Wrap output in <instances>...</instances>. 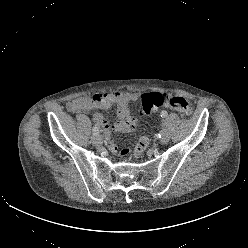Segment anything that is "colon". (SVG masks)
Here are the masks:
<instances>
[{
    "label": "colon",
    "mask_w": 248,
    "mask_h": 248,
    "mask_svg": "<svg viewBox=\"0 0 248 248\" xmlns=\"http://www.w3.org/2000/svg\"><path fill=\"white\" fill-rule=\"evenodd\" d=\"M142 112L144 115H150L152 111L160 106H167L174 109L186 117H190L193 113L192 104L183 97L170 96L164 94H144L141 98ZM149 145L147 135H142L134 149V158H139Z\"/></svg>",
    "instance_id": "5ec220e1"
}]
</instances>
